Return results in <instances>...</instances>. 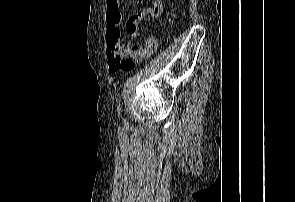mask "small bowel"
Masks as SVG:
<instances>
[{
    "mask_svg": "<svg viewBox=\"0 0 295 202\" xmlns=\"http://www.w3.org/2000/svg\"><path fill=\"white\" fill-rule=\"evenodd\" d=\"M163 11V3L161 0H154L151 7L143 8L133 14L130 20L136 25L138 21L146 16L158 17ZM106 19L110 24H119L122 22V14L119 10V0H106ZM158 47L156 37H148L144 46H133L124 43L119 47H108L109 68L116 73L120 70L131 69L130 63H121L122 56L131 55L136 59H144L155 53Z\"/></svg>",
    "mask_w": 295,
    "mask_h": 202,
    "instance_id": "small-bowel-1",
    "label": "small bowel"
}]
</instances>
